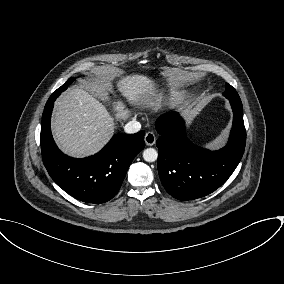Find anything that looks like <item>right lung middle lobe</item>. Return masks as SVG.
Returning a JSON list of instances; mask_svg holds the SVG:
<instances>
[{
    "label": "right lung middle lobe",
    "mask_w": 284,
    "mask_h": 284,
    "mask_svg": "<svg viewBox=\"0 0 284 284\" xmlns=\"http://www.w3.org/2000/svg\"><path fill=\"white\" fill-rule=\"evenodd\" d=\"M74 78H69L60 88H58L50 97H58L67 87L74 81Z\"/></svg>",
    "instance_id": "obj_1"
}]
</instances>
